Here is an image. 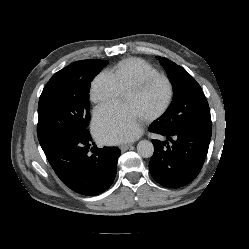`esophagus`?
I'll list each match as a JSON object with an SVG mask.
<instances>
[{
    "instance_id": "34e87169",
    "label": "esophagus",
    "mask_w": 249,
    "mask_h": 249,
    "mask_svg": "<svg viewBox=\"0 0 249 249\" xmlns=\"http://www.w3.org/2000/svg\"><path fill=\"white\" fill-rule=\"evenodd\" d=\"M132 146V144H121L120 146H119V148H120V150L122 151V152H125L126 150H128L130 147Z\"/></svg>"
}]
</instances>
